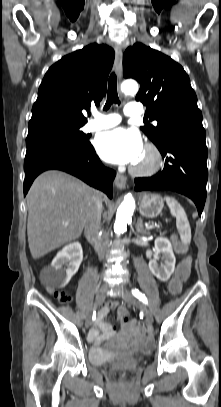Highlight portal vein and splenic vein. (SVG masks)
<instances>
[{"label": "portal vein and splenic vein", "mask_w": 221, "mask_h": 407, "mask_svg": "<svg viewBox=\"0 0 221 407\" xmlns=\"http://www.w3.org/2000/svg\"><path fill=\"white\" fill-rule=\"evenodd\" d=\"M63 225L64 226H67L68 225V223H63ZM160 226L159 225H157V224H155V225H150V226H147L146 225V229H151V228H159Z\"/></svg>", "instance_id": "1"}]
</instances>
